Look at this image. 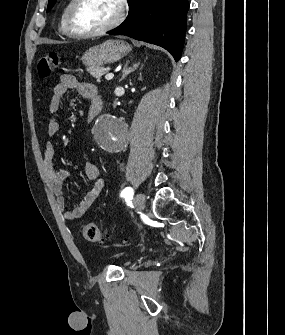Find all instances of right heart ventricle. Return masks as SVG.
Here are the masks:
<instances>
[{
    "label": "right heart ventricle",
    "mask_w": 285,
    "mask_h": 335,
    "mask_svg": "<svg viewBox=\"0 0 285 335\" xmlns=\"http://www.w3.org/2000/svg\"><path fill=\"white\" fill-rule=\"evenodd\" d=\"M74 1H67L66 8L64 10L63 18H62V26H61V31L62 33L70 38H73L72 34L69 31L68 28V16H69V11L72 6ZM87 60H97L96 58H88Z\"/></svg>",
    "instance_id": "right-heart-ventricle-1"
}]
</instances>
